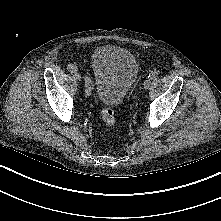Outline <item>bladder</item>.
Segmentation results:
<instances>
[{"label": "bladder", "instance_id": "obj_1", "mask_svg": "<svg viewBox=\"0 0 221 221\" xmlns=\"http://www.w3.org/2000/svg\"><path fill=\"white\" fill-rule=\"evenodd\" d=\"M91 68L95 95L103 105L111 108L123 102L139 74L134 55L114 45L95 49L91 57Z\"/></svg>", "mask_w": 221, "mask_h": 221}]
</instances>
